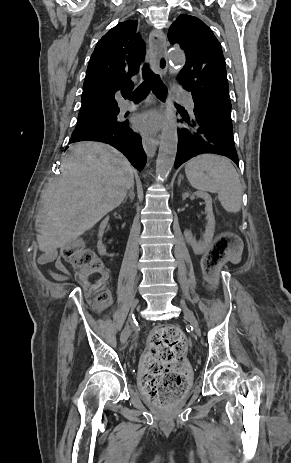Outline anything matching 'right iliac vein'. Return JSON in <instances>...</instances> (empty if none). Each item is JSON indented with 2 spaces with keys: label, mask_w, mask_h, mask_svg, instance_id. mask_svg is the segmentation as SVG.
Listing matches in <instances>:
<instances>
[{
  "label": "right iliac vein",
  "mask_w": 291,
  "mask_h": 463,
  "mask_svg": "<svg viewBox=\"0 0 291 463\" xmlns=\"http://www.w3.org/2000/svg\"><path fill=\"white\" fill-rule=\"evenodd\" d=\"M139 300L136 298L132 305H131V313L134 311V309L136 308L137 304H138ZM130 323H131V319L128 320V324L126 325V327L124 328V330L122 331L121 333V336H120V341L122 344H126L129 336H130Z\"/></svg>",
  "instance_id": "right-iliac-vein-1"
}]
</instances>
